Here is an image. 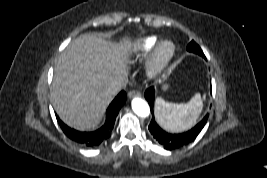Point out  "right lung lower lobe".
<instances>
[{
  "label": "right lung lower lobe",
  "instance_id": "98d812e1",
  "mask_svg": "<svg viewBox=\"0 0 267 178\" xmlns=\"http://www.w3.org/2000/svg\"><path fill=\"white\" fill-rule=\"evenodd\" d=\"M126 102V93L121 91L116 98L112 101L106 111V121L104 125L93 132H80L65 125L58 117L57 120L63 132L71 140L85 147L99 146L106 139L109 138L114 127L115 119L119 110Z\"/></svg>",
  "mask_w": 267,
  "mask_h": 178
}]
</instances>
